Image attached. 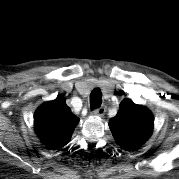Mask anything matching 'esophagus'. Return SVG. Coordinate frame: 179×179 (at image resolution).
Instances as JSON below:
<instances>
[{
	"instance_id": "34e87169",
	"label": "esophagus",
	"mask_w": 179,
	"mask_h": 179,
	"mask_svg": "<svg viewBox=\"0 0 179 179\" xmlns=\"http://www.w3.org/2000/svg\"><path fill=\"white\" fill-rule=\"evenodd\" d=\"M105 111H106V110H105V107H104V106H101V107H99V108L93 110V111H92V114H93L94 116H103L104 113H105Z\"/></svg>"
}]
</instances>
